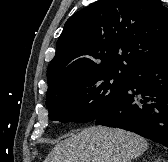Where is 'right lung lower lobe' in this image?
I'll list each match as a JSON object with an SVG mask.
<instances>
[{
  "mask_svg": "<svg viewBox=\"0 0 168 162\" xmlns=\"http://www.w3.org/2000/svg\"><path fill=\"white\" fill-rule=\"evenodd\" d=\"M95 122L135 132L168 147V56L130 73L120 93Z\"/></svg>",
  "mask_w": 168,
  "mask_h": 162,
  "instance_id": "1",
  "label": "right lung lower lobe"
}]
</instances>
